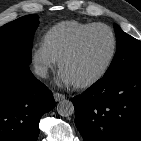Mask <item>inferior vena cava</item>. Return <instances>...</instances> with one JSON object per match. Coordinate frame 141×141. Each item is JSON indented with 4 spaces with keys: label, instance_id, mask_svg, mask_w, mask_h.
<instances>
[{
    "label": "inferior vena cava",
    "instance_id": "1",
    "mask_svg": "<svg viewBox=\"0 0 141 141\" xmlns=\"http://www.w3.org/2000/svg\"><path fill=\"white\" fill-rule=\"evenodd\" d=\"M47 71H48L47 67L43 65L35 66V73L42 78H45L47 76Z\"/></svg>",
    "mask_w": 141,
    "mask_h": 141
}]
</instances>
